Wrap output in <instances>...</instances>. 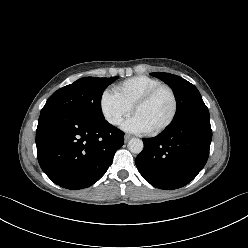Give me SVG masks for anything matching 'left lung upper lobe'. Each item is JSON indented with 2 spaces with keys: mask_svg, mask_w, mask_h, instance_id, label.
I'll return each mask as SVG.
<instances>
[{
  "mask_svg": "<svg viewBox=\"0 0 248 248\" xmlns=\"http://www.w3.org/2000/svg\"><path fill=\"white\" fill-rule=\"evenodd\" d=\"M151 75L168 84L175 94L177 111L172 124L177 123L198 111L207 109L198 89L187 80L169 73H151Z\"/></svg>",
  "mask_w": 248,
  "mask_h": 248,
  "instance_id": "5c2ea615",
  "label": "left lung upper lobe"
}]
</instances>
